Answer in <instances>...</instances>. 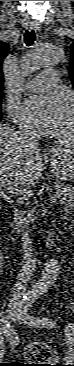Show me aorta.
I'll list each match as a JSON object with an SVG mask.
<instances>
[{
	"mask_svg": "<svg viewBox=\"0 0 74 366\" xmlns=\"http://www.w3.org/2000/svg\"><path fill=\"white\" fill-rule=\"evenodd\" d=\"M62 59L63 49L61 46L52 43H38L22 60L21 84L29 80L36 71L42 68L56 66ZM51 264H54L53 260L49 262V265Z\"/></svg>",
	"mask_w": 74,
	"mask_h": 366,
	"instance_id": "obj_1",
	"label": "aorta"
}]
</instances>
